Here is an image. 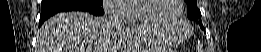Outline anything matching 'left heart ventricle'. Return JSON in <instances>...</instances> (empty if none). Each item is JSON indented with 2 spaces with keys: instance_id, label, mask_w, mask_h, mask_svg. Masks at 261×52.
Listing matches in <instances>:
<instances>
[{
  "instance_id": "b2bd125f",
  "label": "left heart ventricle",
  "mask_w": 261,
  "mask_h": 52,
  "mask_svg": "<svg viewBox=\"0 0 261 52\" xmlns=\"http://www.w3.org/2000/svg\"><path fill=\"white\" fill-rule=\"evenodd\" d=\"M143 11L148 15L161 19H170L178 12L177 0H151L144 3Z\"/></svg>"
}]
</instances>
